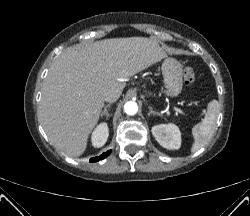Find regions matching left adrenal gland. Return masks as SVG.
<instances>
[{
  "mask_svg": "<svg viewBox=\"0 0 250 216\" xmlns=\"http://www.w3.org/2000/svg\"><path fill=\"white\" fill-rule=\"evenodd\" d=\"M148 108H149V113H148L149 116H150V115L162 116L161 113L154 111L153 108H152L151 106H148Z\"/></svg>",
  "mask_w": 250,
  "mask_h": 216,
  "instance_id": "1",
  "label": "left adrenal gland"
}]
</instances>
